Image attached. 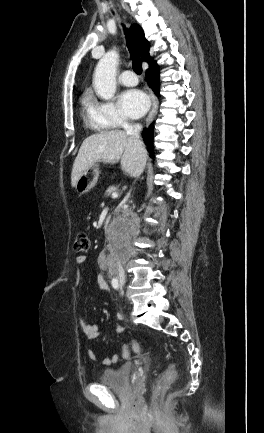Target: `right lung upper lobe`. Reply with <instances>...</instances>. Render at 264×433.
I'll return each instance as SVG.
<instances>
[{"mask_svg":"<svg viewBox=\"0 0 264 433\" xmlns=\"http://www.w3.org/2000/svg\"><path fill=\"white\" fill-rule=\"evenodd\" d=\"M131 29H132L133 34L135 36V39L137 41L138 52H139L141 58L144 61L149 62L151 65L155 64L156 62L153 60V58L150 56V53H149L150 44L145 39L144 32H143L142 28L138 24H133V25H131Z\"/></svg>","mask_w":264,"mask_h":433,"instance_id":"cb5924a9","label":"right lung upper lobe"}]
</instances>
